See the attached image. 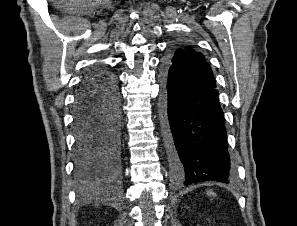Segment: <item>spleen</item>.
I'll return each mask as SVG.
<instances>
[{"label": "spleen", "instance_id": "obj_1", "mask_svg": "<svg viewBox=\"0 0 297 226\" xmlns=\"http://www.w3.org/2000/svg\"><path fill=\"white\" fill-rule=\"evenodd\" d=\"M207 194H208L209 196H215V195H216L212 190H208V191H207Z\"/></svg>", "mask_w": 297, "mask_h": 226}]
</instances>
